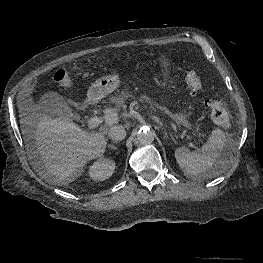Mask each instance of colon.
Listing matches in <instances>:
<instances>
[{"label": "colon", "mask_w": 263, "mask_h": 263, "mask_svg": "<svg viewBox=\"0 0 263 263\" xmlns=\"http://www.w3.org/2000/svg\"><path fill=\"white\" fill-rule=\"evenodd\" d=\"M57 82L67 83L69 78L65 71L59 70L54 76ZM185 81L188 89L192 93H197L201 89V82L199 77L194 71H185ZM206 106L211 110L212 121L219 126H227L230 122V115L224 104L220 100L207 99L205 101Z\"/></svg>", "instance_id": "5ec220e1"}]
</instances>
